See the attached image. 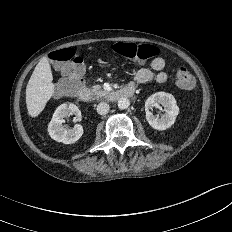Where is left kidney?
I'll return each instance as SVG.
<instances>
[{"instance_id": "5707ae66", "label": "left kidney", "mask_w": 232, "mask_h": 232, "mask_svg": "<svg viewBox=\"0 0 232 232\" xmlns=\"http://www.w3.org/2000/svg\"><path fill=\"white\" fill-rule=\"evenodd\" d=\"M155 104H161L164 107L165 114L160 118L155 117L149 108ZM146 120L149 125L156 130H166L171 127L179 113V107L174 96L166 92H157L152 94L145 101Z\"/></svg>"}]
</instances>
